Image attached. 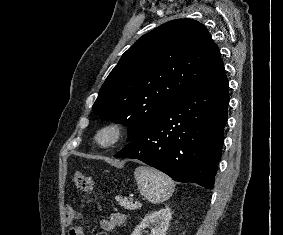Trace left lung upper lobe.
<instances>
[{"label": "left lung upper lobe", "mask_w": 283, "mask_h": 235, "mask_svg": "<svg viewBox=\"0 0 283 235\" xmlns=\"http://www.w3.org/2000/svg\"><path fill=\"white\" fill-rule=\"evenodd\" d=\"M223 67L218 46L192 19L167 22L142 36L102 85L93 112L128 126V142L177 99Z\"/></svg>", "instance_id": "left-lung-upper-lobe-1"}]
</instances>
